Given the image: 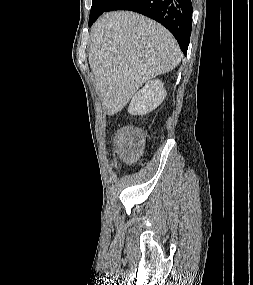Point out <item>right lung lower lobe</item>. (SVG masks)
Instances as JSON below:
<instances>
[{
	"mask_svg": "<svg viewBox=\"0 0 253 285\" xmlns=\"http://www.w3.org/2000/svg\"><path fill=\"white\" fill-rule=\"evenodd\" d=\"M130 10L148 16L165 26L187 54L192 29L191 0H113L104 12ZM89 22V26L95 22Z\"/></svg>",
	"mask_w": 253,
	"mask_h": 285,
	"instance_id": "1",
	"label": "right lung lower lobe"
}]
</instances>
